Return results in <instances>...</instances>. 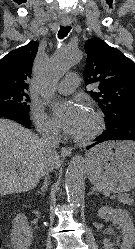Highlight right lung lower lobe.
Listing matches in <instances>:
<instances>
[{
	"label": "right lung lower lobe",
	"instance_id": "98d812e1",
	"mask_svg": "<svg viewBox=\"0 0 135 249\" xmlns=\"http://www.w3.org/2000/svg\"><path fill=\"white\" fill-rule=\"evenodd\" d=\"M0 117L14 120V121L24 125L26 128L31 127L29 115L22 113L21 111L15 109L13 107L0 105Z\"/></svg>",
	"mask_w": 135,
	"mask_h": 249
}]
</instances>
